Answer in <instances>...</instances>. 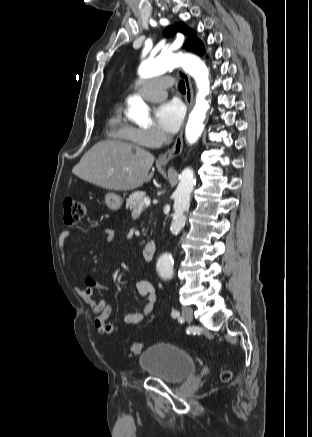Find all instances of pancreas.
Masks as SVG:
<instances>
[{
	"mask_svg": "<svg viewBox=\"0 0 312 437\" xmlns=\"http://www.w3.org/2000/svg\"><path fill=\"white\" fill-rule=\"evenodd\" d=\"M145 192L137 191L132 193L129 198L126 199V208H129L130 210H135L139 206H142V208H145L146 205L144 204V198H145Z\"/></svg>",
	"mask_w": 312,
	"mask_h": 437,
	"instance_id": "pancreas-1",
	"label": "pancreas"
}]
</instances>
